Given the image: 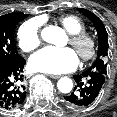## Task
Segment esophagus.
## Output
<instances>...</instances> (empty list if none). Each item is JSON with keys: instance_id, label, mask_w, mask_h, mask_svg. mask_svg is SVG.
<instances>
[{"instance_id": "esophagus-1", "label": "esophagus", "mask_w": 117, "mask_h": 117, "mask_svg": "<svg viewBox=\"0 0 117 117\" xmlns=\"http://www.w3.org/2000/svg\"><path fill=\"white\" fill-rule=\"evenodd\" d=\"M50 77L53 78V79H58V78L61 77V75H50Z\"/></svg>"}]
</instances>
